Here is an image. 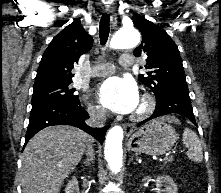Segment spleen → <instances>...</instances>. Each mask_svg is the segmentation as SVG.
<instances>
[{
    "mask_svg": "<svg viewBox=\"0 0 221 193\" xmlns=\"http://www.w3.org/2000/svg\"><path fill=\"white\" fill-rule=\"evenodd\" d=\"M182 141L188 147V158L198 163L201 162L203 160L202 146L196 133L189 128H185Z\"/></svg>",
    "mask_w": 221,
    "mask_h": 193,
    "instance_id": "spleen-1",
    "label": "spleen"
}]
</instances>
